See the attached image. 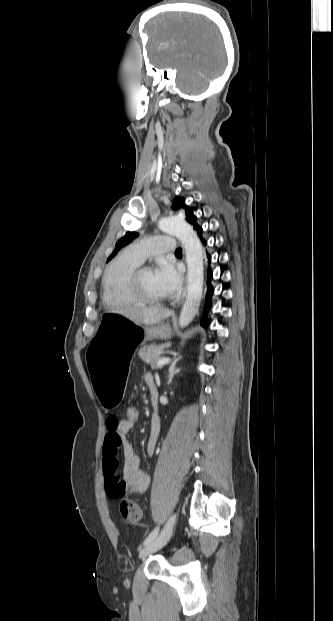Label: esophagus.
Returning a JSON list of instances; mask_svg holds the SVG:
<instances>
[{"instance_id": "34e87169", "label": "esophagus", "mask_w": 333, "mask_h": 621, "mask_svg": "<svg viewBox=\"0 0 333 621\" xmlns=\"http://www.w3.org/2000/svg\"><path fill=\"white\" fill-rule=\"evenodd\" d=\"M185 294H186V290H185V291H184V293H183L182 299L184 298ZM181 303H182V300L178 301V302H177V305L179 306Z\"/></svg>"}]
</instances>
